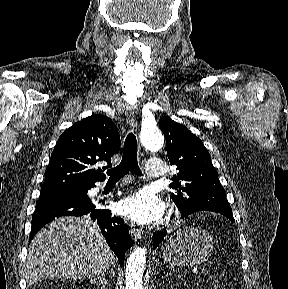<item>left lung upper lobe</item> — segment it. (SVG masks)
<instances>
[{"instance_id": "obj_1", "label": "left lung upper lobe", "mask_w": 288, "mask_h": 289, "mask_svg": "<svg viewBox=\"0 0 288 289\" xmlns=\"http://www.w3.org/2000/svg\"><path fill=\"white\" fill-rule=\"evenodd\" d=\"M159 126L166 138L170 163L179 171L169 186L181 214L213 211L235 222L218 173L200 138L168 116L160 118Z\"/></svg>"}]
</instances>
